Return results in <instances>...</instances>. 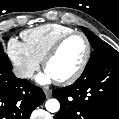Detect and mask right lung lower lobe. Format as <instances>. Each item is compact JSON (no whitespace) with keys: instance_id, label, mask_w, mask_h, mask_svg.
<instances>
[{"instance_id":"right-lung-lower-lobe-1","label":"right lung lower lobe","mask_w":119,"mask_h":119,"mask_svg":"<svg viewBox=\"0 0 119 119\" xmlns=\"http://www.w3.org/2000/svg\"><path fill=\"white\" fill-rule=\"evenodd\" d=\"M44 100L41 88L16 78L12 70L0 69V119H29Z\"/></svg>"}]
</instances>
